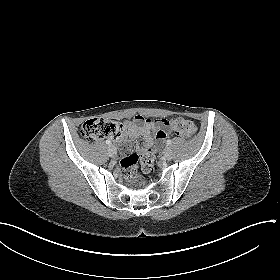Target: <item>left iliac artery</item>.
<instances>
[{
	"label": "left iliac artery",
	"mask_w": 280,
	"mask_h": 280,
	"mask_svg": "<svg viewBox=\"0 0 280 280\" xmlns=\"http://www.w3.org/2000/svg\"><path fill=\"white\" fill-rule=\"evenodd\" d=\"M171 143H172L171 140H167V141H166V144H167V145H171Z\"/></svg>",
	"instance_id": "left-iliac-artery-1"
}]
</instances>
